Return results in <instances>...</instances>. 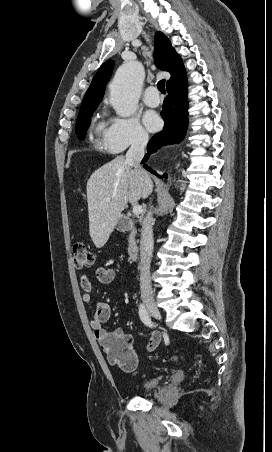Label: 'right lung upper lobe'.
<instances>
[{
	"label": "right lung upper lobe",
	"instance_id": "1",
	"mask_svg": "<svg viewBox=\"0 0 272 452\" xmlns=\"http://www.w3.org/2000/svg\"><path fill=\"white\" fill-rule=\"evenodd\" d=\"M155 59L160 69L168 71L171 74V78L167 81V88L174 86L186 78L180 56L162 32H157L155 35ZM113 64V61L109 60L99 68L85 94L81 107L99 104L101 102L104 96L105 86L112 73Z\"/></svg>",
	"mask_w": 272,
	"mask_h": 452
}]
</instances>
